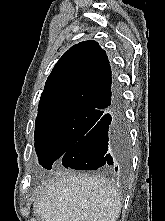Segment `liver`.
Returning a JSON list of instances; mask_svg holds the SVG:
<instances>
[{
  "label": "liver",
  "instance_id": "6515ba94",
  "mask_svg": "<svg viewBox=\"0 0 165 221\" xmlns=\"http://www.w3.org/2000/svg\"><path fill=\"white\" fill-rule=\"evenodd\" d=\"M33 207L41 221H117L121 200L105 178L63 172L42 188Z\"/></svg>",
  "mask_w": 165,
  "mask_h": 221
}]
</instances>
